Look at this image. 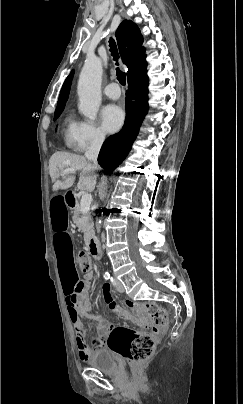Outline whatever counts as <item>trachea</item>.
Wrapping results in <instances>:
<instances>
[{
	"label": "trachea",
	"instance_id": "trachea-1",
	"mask_svg": "<svg viewBox=\"0 0 243 404\" xmlns=\"http://www.w3.org/2000/svg\"><path fill=\"white\" fill-rule=\"evenodd\" d=\"M109 46H110V52L113 56V59L115 60L116 65H118L119 54H118L116 43L114 42V40L112 38L109 40ZM116 75H117V80L119 81V83L121 85H125L126 84V74L124 72H122L118 67L116 69Z\"/></svg>",
	"mask_w": 243,
	"mask_h": 404
}]
</instances>
